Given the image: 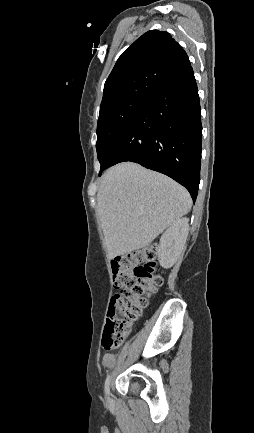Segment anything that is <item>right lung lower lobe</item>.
I'll return each mask as SVG.
<instances>
[{"instance_id": "right-lung-lower-lobe-1", "label": "right lung lower lobe", "mask_w": 254, "mask_h": 433, "mask_svg": "<svg viewBox=\"0 0 254 433\" xmlns=\"http://www.w3.org/2000/svg\"><path fill=\"white\" fill-rule=\"evenodd\" d=\"M201 140L198 89L189 65L163 84L138 112L115 144L103 170L124 161L139 163L186 187L195 202Z\"/></svg>"}]
</instances>
